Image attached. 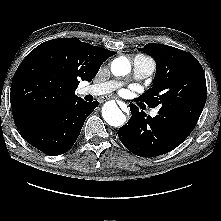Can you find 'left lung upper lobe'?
I'll list each match as a JSON object with an SVG mask.
<instances>
[{
    "instance_id": "obj_1",
    "label": "left lung upper lobe",
    "mask_w": 221,
    "mask_h": 221,
    "mask_svg": "<svg viewBox=\"0 0 221 221\" xmlns=\"http://www.w3.org/2000/svg\"><path fill=\"white\" fill-rule=\"evenodd\" d=\"M157 64L153 87L140 97L159 115L169 118L184 131L191 132L206 103V82L202 66L188 52L150 43L143 49Z\"/></svg>"
}]
</instances>
